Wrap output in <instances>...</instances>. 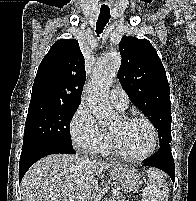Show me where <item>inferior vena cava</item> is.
I'll use <instances>...</instances> for the list:
<instances>
[{
  "label": "inferior vena cava",
  "mask_w": 196,
  "mask_h": 201,
  "mask_svg": "<svg viewBox=\"0 0 196 201\" xmlns=\"http://www.w3.org/2000/svg\"><path fill=\"white\" fill-rule=\"evenodd\" d=\"M84 159L87 160V161L89 160L87 156H84Z\"/></svg>",
  "instance_id": "1"
}]
</instances>
